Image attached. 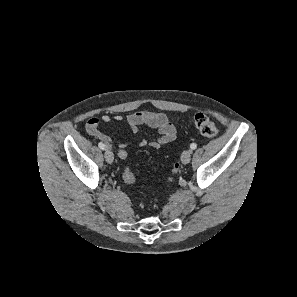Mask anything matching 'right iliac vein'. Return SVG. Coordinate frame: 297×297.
Returning a JSON list of instances; mask_svg holds the SVG:
<instances>
[{
	"label": "right iliac vein",
	"mask_w": 297,
	"mask_h": 297,
	"mask_svg": "<svg viewBox=\"0 0 297 297\" xmlns=\"http://www.w3.org/2000/svg\"><path fill=\"white\" fill-rule=\"evenodd\" d=\"M104 157L109 164L113 162L114 156L110 149L105 150Z\"/></svg>",
	"instance_id": "obj_1"
}]
</instances>
